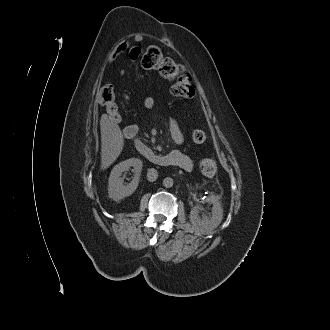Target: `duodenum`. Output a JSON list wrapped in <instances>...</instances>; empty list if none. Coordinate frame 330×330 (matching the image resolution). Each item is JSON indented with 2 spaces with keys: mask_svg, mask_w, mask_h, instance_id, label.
I'll list each match as a JSON object with an SVG mask.
<instances>
[{
  "mask_svg": "<svg viewBox=\"0 0 330 330\" xmlns=\"http://www.w3.org/2000/svg\"><path fill=\"white\" fill-rule=\"evenodd\" d=\"M124 135L127 139H133L136 135V129L134 127H127L124 130ZM139 152L152 164L164 167L169 166L167 158L165 155L155 153L150 148H148L144 143H137Z\"/></svg>",
  "mask_w": 330,
  "mask_h": 330,
  "instance_id": "1",
  "label": "duodenum"
}]
</instances>
